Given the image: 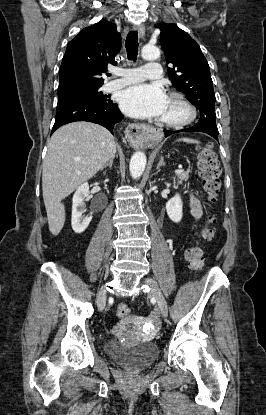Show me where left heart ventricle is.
I'll list each match as a JSON object with an SVG mask.
<instances>
[{"mask_svg":"<svg viewBox=\"0 0 266 415\" xmlns=\"http://www.w3.org/2000/svg\"><path fill=\"white\" fill-rule=\"evenodd\" d=\"M185 115L186 111L182 106L168 99L167 107L160 119L167 121H178L184 118Z\"/></svg>","mask_w":266,"mask_h":415,"instance_id":"obj_1","label":"left heart ventricle"}]
</instances>
